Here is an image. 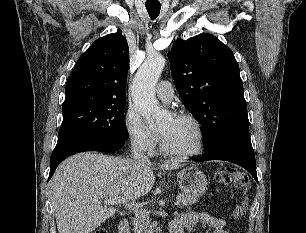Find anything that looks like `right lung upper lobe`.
Returning <instances> with one entry per match:
<instances>
[{
    "instance_id": "right-lung-upper-lobe-1",
    "label": "right lung upper lobe",
    "mask_w": 306,
    "mask_h": 233,
    "mask_svg": "<svg viewBox=\"0 0 306 233\" xmlns=\"http://www.w3.org/2000/svg\"><path fill=\"white\" fill-rule=\"evenodd\" d=\"M129 47L118 33L96 40L77 61L66 83V99L126 101ZM64 102V103H65Z\"/></svg>"
}]
</instances>
